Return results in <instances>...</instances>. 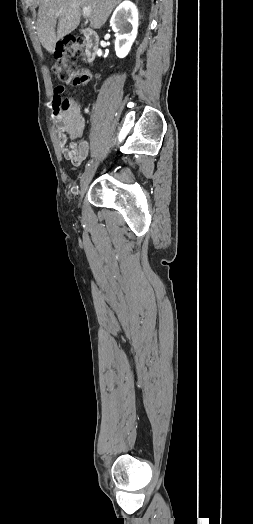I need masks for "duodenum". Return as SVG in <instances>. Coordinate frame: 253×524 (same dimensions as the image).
I'll list each match as a JSON object with an SVG mask.
<instances>
[{
    "label": "duodenum",
    "instance_id": "duodenum-1",
    "mask_svg": "<svg viewBox=\"0 0 253 524\" xmlns=\"http://www.w3.org/2000/svg\"><path fill=\"white\" fill-rule=\"evenodd\" d=\"M86 40L85 57L88 62H92L97 55L99 48V36L98 34L89 28L82 31Z\"/></svg>",
    "mask_w": 253,
    "mask_h": 524
}]
</instances>
